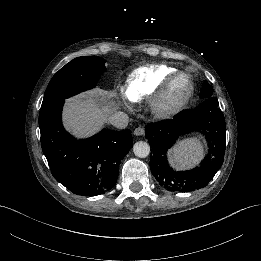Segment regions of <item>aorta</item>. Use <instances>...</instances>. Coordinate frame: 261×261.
I'll use <instances>...</instances> for the list:
<instances>
[{
	"instance_id": "1",
	"label": "aorta",
	"mask_w": 261,
	"mask_h": 261,
	"mask_svg": "<svg viewBox=\"0 0 261 261\" xmlns=\"http://www.w3.org/2000/svg\"><path fill=\"white\" fill-rule=\"evenodd\" d=\"M133 152L138 158H146L150 154V146L143 141L136 142L133 147Z\"/></svg>"
}]
</instances>
